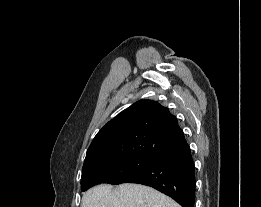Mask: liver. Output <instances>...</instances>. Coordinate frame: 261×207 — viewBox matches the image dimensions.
<instances>
[{
  "instance_id": "1",
  "label": "liver",
  "mask_w": 261,
  "mask_h": 207,
  "mask_svg": "<svg viewBox=\"0 0 261 207\" xmlns=\"http://www.w3.org/2000/svg\"><path fill=\"white\" fill-rule=\"evenodd\" d=\"M81 207H181L161 192L141 184L125 183L115 190L101 184L87 190Z\"/></svg>"
}]
</instances>
